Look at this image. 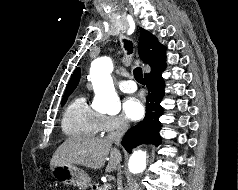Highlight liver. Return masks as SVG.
I'll use <instances>...</instances> for the list:
<instances>
[{
	"label": "liver",
	"instance_id": "obj_1",
	"mask_svg": "<svg viewBox=\"0 0 238 190\" xmlns=\"http://www.w3.org/2000/svg\"><path fill=\"white\" fill-rule=\"evenodd\" d=\"M108 138L69 137L55 151L50 161L51 170L58 165H81L91 169H100L105 165L110 153L106 172L116 170L121 154L112 148Z\"/></svg>",
	"mask_w": 238,
	"mask_h": 190
}]
</instances>
